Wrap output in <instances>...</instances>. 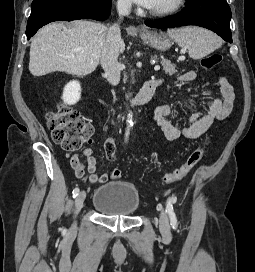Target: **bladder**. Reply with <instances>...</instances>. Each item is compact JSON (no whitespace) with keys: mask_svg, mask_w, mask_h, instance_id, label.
Instances as JSON below:
<instances>
[{"mask_svg":"<svg viewBox=\"0 0 255 272\" xmlns=\"http://www.w3.org/2000/svg\"><path fill=\"white\" fill-rule=\"evenodd\" d=\"M92 205L105 216H131L140 207V194L133 183L111 181L96 189Z\"/></svg>","mask_w":255,"mask_h":272,"instance_id":"31cf9c89","label":"bladder"}]
</instances>
